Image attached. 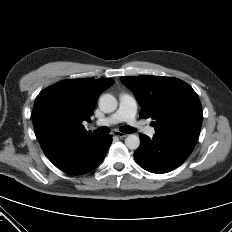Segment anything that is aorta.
<instances>
[{
	"label": "aorta",
	"instance_id": "1",
	"mask_svg": "<svg viewBox=\"0 0 232 232\" xmlns=\"http://www.w3.org/2000/svg\"><path fill=\"white\" fill-rule=\"evenodd\" d=\"M117 104V99L111 94H103L99 99V108L104 113L114 112ZM125 145L131 150H136L140 145V139L137 135L130 134L125 139Z\"/></svg>",
	"mask_w": 232,
	"mask_h": 232
}]
</instances>
